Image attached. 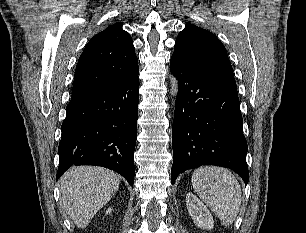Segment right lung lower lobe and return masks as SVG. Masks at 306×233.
<instances>
[{"instance_id": "1", "label": "right lung lower lobe", "mask_w": 306, "mask_h": 233, "mask_svg": "<svg viewBox=\"0 0 306 233\" xmlns=\"http://www.w3.org/2000/svg\"><path fill=\"white\" fill-rule=\"evenodd\" d=\"M139 67L119 85L67 105L57 179L73 165L112 169L133 185Z\"/></svg>"}]
</instances>
